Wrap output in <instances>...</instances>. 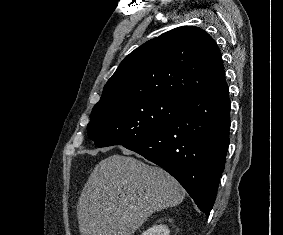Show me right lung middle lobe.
Segmentation results:
<instances>
[{
  "instance_id": "right-lung-middle-lobe-1",
  "label": "right lung middle lobe",
  "mask_w": 283,
  "mask_h": 235,
  "mask_svg": "<svg viewBox=\"0 0 283 235\" xmlns=\"http://www.w3.org/2000/svg\"><path fill=\"white\" fill-rule=\"evenodd\" d=\"M180 102L170 97H130L94 106L88 136L97 147L138 141L168 124Z\"/></svg>"
}]
</instances>
